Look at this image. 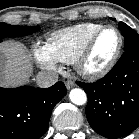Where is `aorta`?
Instances as JSON below:
<instances>
[{"label":"aorta","mask_w":139,"mask_h":139,"mask_svg":"<svg viewBox=\"0 0 139 139\" xmlns=\"http://www.w3.org/2000/svg\"><path fill=\"white\" fill-rule=\"evenodd\" d=\"M69 98L75 105H83L87 101L86 93L80 88L72 89L69 93Z\"/></svg>","instance_id":"aorta-1"}]
</instances>
